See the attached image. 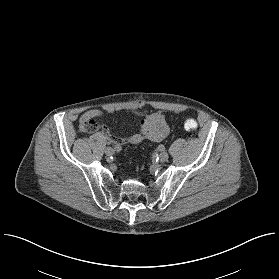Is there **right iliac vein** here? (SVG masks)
Returning a JSON list of instances; mask_svg holds the SVG:
<instances>
[{
  "mask_svg": "<svg viewBox=\"0 0 279 279\" xmlns=\"http://www.w3.org/2000/svg\"><path fill=\"white\" fill-rule=\"evenodd\" d=\"M105 153H106L108 156H110V155H113V154H114V150H113V148H111V147H107V148L105 149Z\"/></svg>",
  "mask_w": 279,
  "mask_h": 279,
  "instance_id": "right-iliac-vein-1",
  "label": "right iliac vein"
}]
</instances>
